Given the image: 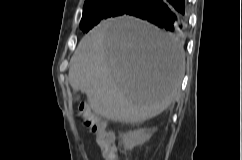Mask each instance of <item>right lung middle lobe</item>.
Segmentation results:
<instances>
[{"label": "right lung middle lobe", "mask_w": 242, "mask_h": 160, "mask_svg": "<svg viewBox=\"0 0 242 160\" xmlns=\"http://www.w3.org/2000/svg\"><path fill=\"white\" fill-rule=\"evenodd\" d=\"M142 0H86L80 28L88 32L101 20L125 14Z\"/></svg>", "instance_id": "obj_1"}]
</instances>
